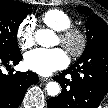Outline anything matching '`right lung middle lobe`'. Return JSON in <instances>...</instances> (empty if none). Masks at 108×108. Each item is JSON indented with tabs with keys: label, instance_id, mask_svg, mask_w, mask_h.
<instances>
[{
	"label": "right lung middle lobe",
	"instance_id": "right-lung-middle-lobe-1",
	"mask_svg": "<svg viewBox=\"0 0 108 108\" xmlns=\"http://www.w3.org/2000/svg\"><path fill=\"white\" fill-rule=\"evenodd\" d=\"M28 5L19 1H0V53L15 55L20 52L17 30L28 14Z\"/></svg>",
	"mask_w": 108,
	"mask_h": 108
}]
</instances>
